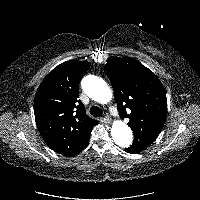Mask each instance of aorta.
I'll return each mask as SVG.
<instances>
[{"label": "aorta", "mask_w": 200, "mask_h": 200, "mask_svg": "<svg viewBox=\"0 0 200 200\" xmlns=\"http://www.w3.org/2000/svg\"><path fill=\"white\" fill-rule=\"evenodd\" d=\"M83 91L94 101L100 104H107L112 99V91L107 83L95 75H87L82 79ZM111 136L114 142L122 148L131 145L133 135L130 127L122 121H114L111 127Z\"/></svg>", "instance_id": "obj_1"}]
</instances>
